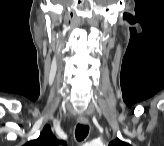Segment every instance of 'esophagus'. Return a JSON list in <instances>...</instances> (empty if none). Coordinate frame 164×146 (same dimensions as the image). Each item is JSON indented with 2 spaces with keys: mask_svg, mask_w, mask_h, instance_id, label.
Masks as SVG:
<instances>
[{
  "mask_svg": "<svg viewBox=\"0 0 164 146\" xmlns=\"http://www.w3.org/2000/svg\"><path fill=\"white\" fill-rule=\"evenodd\" d=\"M78 122L83 125L89 124V120L87 118H78Z\"/></svg>",
  "mask_w": 164,
  "mask_h": 146,
  "instance_id": "obj_1",
  "label": "esophagus"
}]
</instances>
